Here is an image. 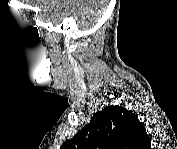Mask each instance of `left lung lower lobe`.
<instances>
[{
	"label": "left lung lower lobe",
	"mask_w": 177,
	"mask_h": 149,
	"mask_svg": "<svg viewBox=\"0 0 177 149\" xmlns=\"http://www.w3.org/2000/svg\"><path fill=\"white\" fill-rule=\"evenodd\" d=\"M141 148L143 149H150V139H149V136L146 135L143 140H142V145H141Z\"/></svg>",
	"instance_id": "obj_1"
}]
</instances>
